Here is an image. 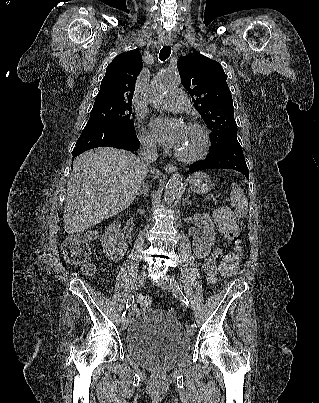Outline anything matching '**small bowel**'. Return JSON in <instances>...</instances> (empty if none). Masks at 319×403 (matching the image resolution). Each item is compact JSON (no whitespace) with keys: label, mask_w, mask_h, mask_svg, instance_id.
I'll return each mask as SVG.
<instances>
[{"label":"small bowel","mask_w":319,"mask_h":403,"mask_svg":"<svg viewBox=\"0 0 319 403\" xmlns=\"http://www.w3.org/2000/svg\"><path fill=\"white\" fill-rule=\"evenodd\" d=\"M222 250L220 248H216L205 260L203 264V271L207 277V280L211 283H215L217 280V262L220 257ZM222 275V274H221ZM232 275V274H231ZM231 275H222L224 277H228Z\"/></svg>","instance_id":"1"}]
</instances>
